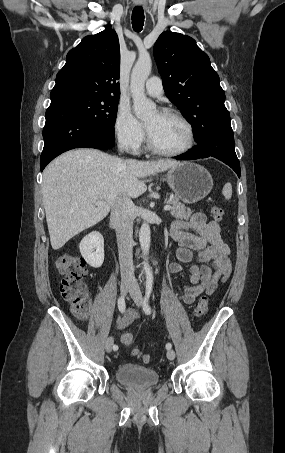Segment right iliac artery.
I'll return each instance as SVG.
<instances>
[{
  "label": "right iliac artery",
  "mask_w": 285,
  "mask_h": 453,
  "mask_svg": "<svg viewBox=\"0 0 285 453\" xmlns=\"http://www.w3.org/2000/svg\"><path fill=\"white\" fill-rule=\"evenodd\" d=\"M125 308H126V303H125V298L122 296L118 299V309L121 313H124L125 312ZM113 349L114 350H117L118 349V346L117 345H114L113 346Z\"/></svg>",
  "instance_id": "1"
}]
</instances>
